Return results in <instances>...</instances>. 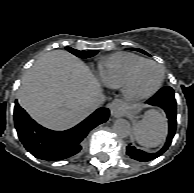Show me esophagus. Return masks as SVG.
Instances as JSON below:
<instances>
[{"mask_svg": "<svg viewBox=\"0 0 194 193\" xmlns=\"http://www.w3.org/2000/svg\"><path fill=\"white\" fill-rule=\"evenodd\" d=\"M109 109H110L111 115L120 116L124 109V106L120 100L116 99L109 104Z\"/></svg>", "mask_w": 194, "mask_h": 193, "instance_id": "1", "label": "esophagus"}]
</instances>
